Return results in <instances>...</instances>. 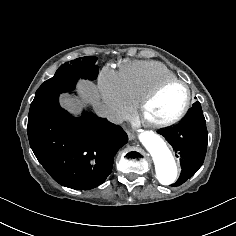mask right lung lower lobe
Returning a JSON list of instances; mask_svg holds the SVG:
<instances>
[{
    "instance_id": "right-lung-lower-lobe-1",
    "label": "right lung lower lobe",
    "mask_w": 236,
    "mask_h": 236,
    "mask_svg": "<svg viewBox=\"0 0 236 236\" xmlns=\"http://www.w3.org/2000/svg\"><path fill=\"white\" fill-rule=\"evenodd\" d=\"M58 96L30 106V146L59 184L78 190L95 188L111 173L113 158L128 136L120 126L92 112L71 116L60 107Z\"/></svg>"
}]
</instances>
